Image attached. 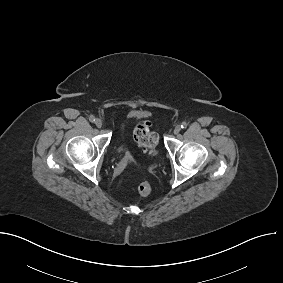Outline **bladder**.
Instances as JSON below:
<instances>
[{"label":"bladder","mask_w":283,"mask_h":283,"mask_svg":"<svg viewBox=\"0 0 283 283\" xmlns=\"http://www.w3.org/2000/svg\"><path fill=\"white\" fill-rule=\"evenodd\" d=\"M157 144V140L155 142V146ZM116 153L118 154L119 157L122 158H131L132 153L131 151L127 148V146L124 143H120L117 148H116Z\"/></svg>","instance_id":"bladder-1"}]
</instances>
